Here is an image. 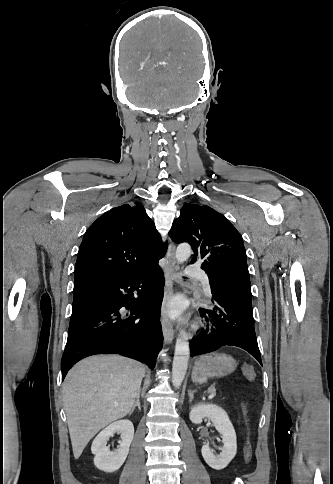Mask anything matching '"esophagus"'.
I'll list each match as a JSON object with an SVG mask.
<instances>
[{"label": "esophagus", "mask_w": 333, "mask_h": 484, "mask_svg": "<svg viewBox=\"0 0 333 484\" xmlns=\"http://www.w3.org/2000/svg\"><path fill=\"white\" fill-rule=\"evenodd\" d=\"M177 267L175 261V245L173 243L169 244L167 255H166V265H165V290L161 306V325L163 330L164 339L167 344L172 343L174 339L173 325L167 317L166 307L173 295V281L177 278Z\"/></svg>", "instance_id": "esophagus-1"}]
</instances>
